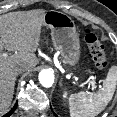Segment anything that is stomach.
I'll return each mask as SVG.
<instances>
[{"label": "stomach", "instance_id": "1", "mask_svg": "<svg viewBox=\"0 0 117 117\" xmlns=\"http://www.w3.org/2000/svg\"><path fill=\"white\" fill-rule=\"evenodd\" d=\"M44 24L51 29L53 46L64 63L74 66L80 56V41L71 17L59 12H47Z\"/></svg>", "mask_w": 117, "mask_h": 117}]
</instances>
